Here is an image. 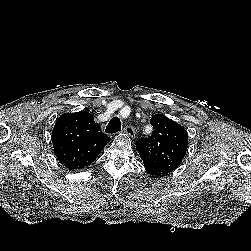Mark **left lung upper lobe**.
Returning a JSON list of instances; mask_svg holds the SVG:
<instances>
[{"mask_svg": "<svg viewBox=\"0 0 251 251\" xmlns=\"http://www.w3.org/2000/svg\"><path fill=\"white\" fill-rule=\"evenodd\" d=\"M150 123L151 136L136 142V148L146 171L155 177L165 176L175 170L188 148L187 132L181 125L163 114H155Z\"/></svg>", "mask_w": 251, "mask_h": 251, "instance_id": "1", "label": "left lung upper lobe"}]
</instances>
